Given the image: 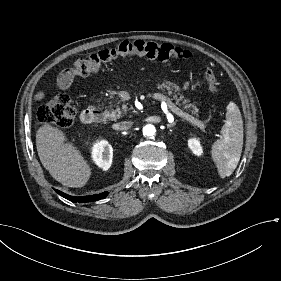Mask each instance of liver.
Instances as JSON below:
<instances>
[{
    "label": "liver",
    "mask_w": 281,
    "mask_h": 281,
    "mask_svg": "<svg viewBox=\"0 0 281 281\" xmlns=\"http://www.w3.org/2000/svg\"><path fill=\"white\" fill-rule=\"evenodd\" d=\"M64 133L45 123L37 130L36 147L42 165L62 185L81 188L88 182L91 169L79 151L64 144Z\"/></svg>",
    "instance_id": "6515ba94"
}]
</instances>
